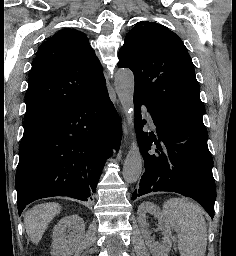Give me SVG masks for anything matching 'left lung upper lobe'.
<instances>
[{"mask_svg":"<svg viewBox=\"0 0 236 256\" xmlns=\"http://www.w3.org/2000/svg\"><path fill=\"white\" fill-rule=\"evenodd\" d=\"M118 66L133 71L134 96L203 123L205 107L194 66L174 32L156 22L136 23L119 51Z\"/></svg>","mask_w":236,"mask_h":256,"instance_id":"5c2ea615","label":"left lung upper lobe"}]
</instances>
